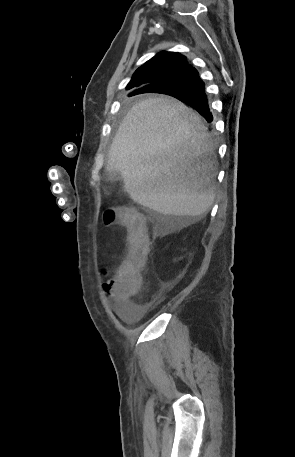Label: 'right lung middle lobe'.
<instances>
[{
    "mask_svg": "<svg viewBox=\"0 0 295 457\" xmlns=\"http://www.w3.org/2000/svg\"><path fill=\"white\" fill-rule=\"evenodd\" d=\"M157 93H164V94H168V95H173L174 94V90H171V89H168V90H163V91H156ZM134 94H132L133 96Z\"/></svg>",
    "mask_w": 295,
    "mask_h": 457,
    "instance_id": "obj_1",
    "label": "right lung middle lobe"
}]
</instances>
